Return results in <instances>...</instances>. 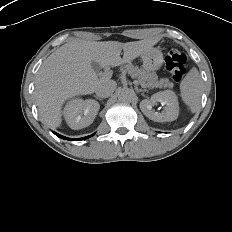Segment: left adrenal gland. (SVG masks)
<instances>
[{
    "mask_svg": "<svg viewBox=\"0 0 232 232\" xmlns=\"http://www.w3.org/2000/svg\"><path fill=\"white\" fill-rule=\"evenodd\" d=\"M146 91H148V90L147 89H143V90L141 89L140 90V92H146Z\"/></svg>",
    "mask_w": 232,
    "mask_h": 232,
    "instance_id": "a2214340",
    "label": "left adrenal gland"
}]
</instances>
